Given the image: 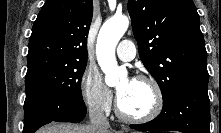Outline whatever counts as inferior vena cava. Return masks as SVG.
Returning <instances> with one entry per match:
<instances>
[{"instance_id": "inferior-vena-cava-1", "label": "inferior vena cava", "mask_w": 221, "mask_h": 133, "mask_svg": "<svg viewBox=\"0 0 221 133\" xmlns=\"http://www.w3.org/2000/svg\"><path fill=\"white\" fill-rule=\"evenodd\" d=\"M90 125L97 133H105L110 124L104 112L99 107L89 109Z\"/></svg>"}]
</instances>
